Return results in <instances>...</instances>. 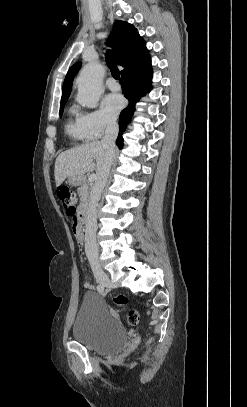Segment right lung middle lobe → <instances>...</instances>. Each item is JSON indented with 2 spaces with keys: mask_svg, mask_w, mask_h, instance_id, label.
I'll return each mask as SVG.
<instances>
[{
  "mask_svg": "<svg viewBox=\"0 0 247 407\" xmlns=\"http://www.w3.org/2000/svg\"><path fill=\"white\" fill-rule=\"evenodd\" d=\"M65 104H66V101L61 102V104H60V116H62V113H63V109H64Z\"/></svg>",
  "mask_w": 247,
  "mask_h": 407,
  "instance_id": "1",
  "label": "right lung middle lobe"
}]
</instances>
